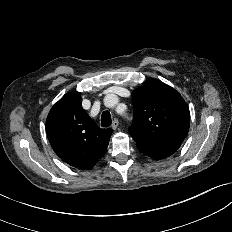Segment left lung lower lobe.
Here are the masks:
<instances>
[{"label":"left lung lower lobe","instance_id":"0a47b994","mask_svg":"<svg viewBox=\"0 0 232 232\" xmlns=\"http://www.w3.org/2000/svg\"><path fill=\"white\" fill-rule=\"evenodd\" d=\"M138 149L154 160H160L174 154L180 147L179 144H166L160 146H144L136 144Z\"/></svg>","mask_w":232,"mask_h":232}]
</instances>
